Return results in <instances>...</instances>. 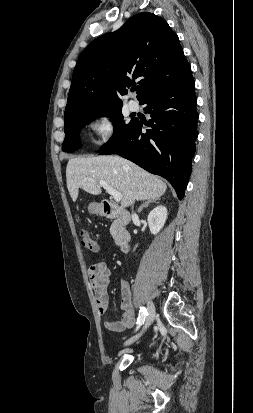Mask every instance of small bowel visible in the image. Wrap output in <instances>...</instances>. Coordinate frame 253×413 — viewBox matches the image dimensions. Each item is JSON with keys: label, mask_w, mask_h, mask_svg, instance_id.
<instances>
[{"label": "small bowel", "mask_w": 253, "mask_h": 413, "mask_svg": "<svg viewBox=\"0 0 253 413\" xmlns=\"http://www.w3.org/2000/svg\"><path fill=\"white\" fill-rule=\"evenodd\" d=\"M88 276L93 288L94 297L98 312L105 315L108 310V292L107 287L112 277V271L107 262L102 259L93 263L89 270ZM122 289V318L119 321H105L104 327L113 332H123L133 327L135 323V311L132 301L131 284L127 279L121 280Z\"/></svg>", "instance_id": "c3829d8e"}]
</instances>
